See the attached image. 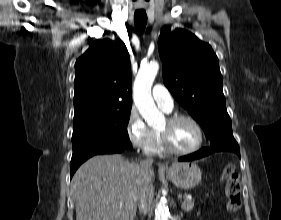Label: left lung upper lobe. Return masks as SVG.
<instances>
[{
	"instance_id": "1",
	"label": "left lung upper lobe",
	"mask_w": 281,
	"mask_h": 220,
	"mask_svg": "<svg viewBox=\"0 0 281 220\" xmlns=\"http://www.w3.org/2000/svg\"><path fill=\"white\" fill-rule=\"evenodd\" d=\"M163 81L175 99L201 125L210 147H239L232 134L222 90L219 61L212 47L183 29L164 27L159 41Z\"/></svg>"
}]
</instances>
